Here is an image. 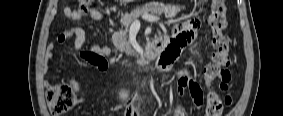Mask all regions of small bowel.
<instances>
[{
  "label": "small bowel",
  "mask_w": 283,
  "mask_h": 116,
  "mask_svg": "<svg viewBox=\"0 0 283 116\" xmlns=\"http://www.w3.org/2000/svg\"><path fill=\"white\" fill-rule=\"evenodd\" d=\"M64 15L69 21H80L83 15L77 10L66 7L64 9ZM89 17L100 21L103 19V15L98 10H92L89 13ZM201 26V20L199 18H190L183 24L177 26L173 31V37L170 39L169 45L162 52L161 58L159 60V66L161 69H169L171 63H166L167 58H175L176 55L186 47L194 38L195 33ZM68 38H73V51H80L81 58L96 66L101 72L106 71L107 62L104 56L110 55L109 48L100 45H90L86 44V34L83 28L80 26L71 25L67 31L60 34L55 42H52L48 46V53H51L61 44H63ZM62 70L69 76L70 86L75 93L80 90L79 82L74 74V72L64 64H61ZM178 88L176 90L177 100L180 102L184 94L185 89H189L190 94L193 99L194 106L197 110L204 109V93L197 80L191 76L190 71L183 70L176 75ZM221 85V82L219 86ZM228 89V84H226V91ZM230 97L226 94L224 98ZM136 97L130 96L120 102L117 108L122 110L123 116H140L143 114L142 110L138 105L134 104ZM231 99V97H230ZM205 115L209 116L206 111Z\"/></svg>",
  "instance_id": "small-bowel-1"
}]
</instances>
